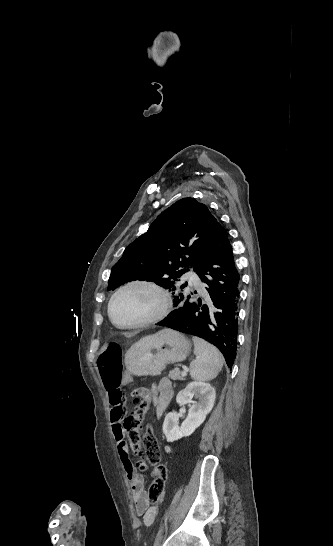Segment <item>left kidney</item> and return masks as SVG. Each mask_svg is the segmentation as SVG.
<instances>
[{"label":"left kidney","mask_w":333,"mask_h":546,"mask_svg":"<svg viewBox=\"0 0 333 546\" xmlns=\"http://www.w3.org/2000/svg\"><path fill=\"white\" fill-rule=\"evenodd\" d=\"M198 401H193L192 398ZM216 398L215 389L207 383L191 382L181 390L176 397L180 405L192 404L188 415L181 426L178 425V415L170 412L165 416L163 433L168 442L190 436L206 419L207 414L212 410Z\"/></svg>","instance_id":"obj_1"}]
</instances>
